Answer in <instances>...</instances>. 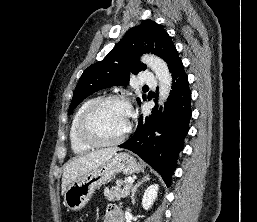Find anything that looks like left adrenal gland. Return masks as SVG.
Segmentation results:
<instances>
[{
    "label": "left adrenal gland",
    "mask_w": 257,
    "mask_h": 222,
    "mask_svg": "<svg viewBox=\"0 0 257 222\" xmlns=\"http://www.w3.org/2000/svg\"><path fill=\"white\" fill-rule=\"evenodd\" d=\"M149 180H150L149 176L146 175V176L143 177V179H142L141 181H138V183H136V184L134 185V187H133V189H132V194H131V201H132V204H135L134 195H135V192H136L137 188H138L141 184H143L144 182L149 181Z\"/></svg>",
    "instance_id": "1"
}]
</instances>
